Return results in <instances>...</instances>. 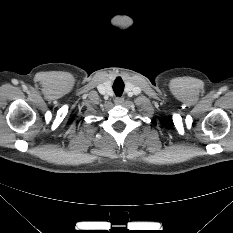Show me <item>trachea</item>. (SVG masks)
I'll use <instances>...</instances> for the list:
<instances>
[{
	"label": "trachea",
	"mask_w": 233,
	"mask_h": 233,
	"mask_svg": "<svg viewBox=\"0 0 233 233\" xmlns=\"http://www.w3.org/2000/svg\"><path fill=\"white\" fill-rule=\"evenodd\" d=\"M113 91L116 96L120 97L124 91V82L120 77H117L113 83Z\"/></svg>",
	"instance_id": "obj_1"
}]
</instances>
